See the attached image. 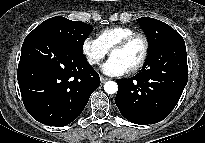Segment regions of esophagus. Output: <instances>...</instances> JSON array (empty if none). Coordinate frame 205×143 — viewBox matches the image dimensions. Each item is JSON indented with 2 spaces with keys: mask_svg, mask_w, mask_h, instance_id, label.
Instances as JSON below:
<instances>
[{
  "mask_svg": "<svg viewBox=\"0 0 205 143\" xmlns=\"http://www.w3.org/2000/svg\"><path fill=\"white\" fill-rule=\"evenodd\" d=\"M107 80H109V78L104 77V76H100L101 83H105Z\"/></svg>",
  "mask_w": 205,
  "mask_h": 143,
  "instance_id": "1",
  "label": "esophagus"
}]
</instances>
